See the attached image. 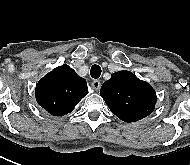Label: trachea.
Instances as JSON below:
<instances>
[{"instance_id": "1", "label": "trachea", "mask_w": 190, "mask_h": 165, "mask_svg": "<svg viewBox=\"0 0 190 165\" xmlns=\"http://www.w3.org/2000/svg\"><path fill=\"white\" fill-rule=\"evenodd\" d=\"M90 75L92 78L97 79L101 75V68L99 65H93L90 70Z\"/></svg>"}]
</instances>
